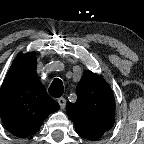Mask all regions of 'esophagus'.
I'll return each mask as SVG.
<instances>
[{"mask_svg":"<svg viewBox=\"0 0 144 144\" xmlns=\"http://www.w3.org/2000/svg\"><path fill=\"white\" fill-rule=\"evenodd\" d=\"M58 104L60 105L61 109H64L66 106V99L61 97L58 99Z\"/></svg>","mask_w":144,"mask_h":144,"instance_id":"1","label":"esophagus"}]
</instances>
